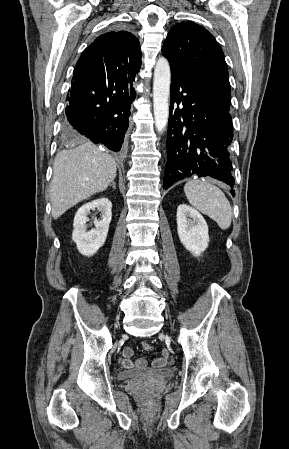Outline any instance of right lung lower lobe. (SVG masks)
I'll list each match as a JSON object with an SVG mask.
<instances>
[{
    "instance_id": "1",
    "label": "right lung lower lobe",
    "mask_w": 289,
    "mask_h": 449,
    "mask_svg": "<svg viewBox=\"0 0 289 449\" xmlns=\"http://www.w3.org/2000/svg\"><path fill=\"white\" fill-rule=\"evenodd\" d=\"M134 78L114 82L72 78L63 124L67 134L87 137L118 152L124 142L131 103L136 96Z\"/></svg>"
}]
</instances>
